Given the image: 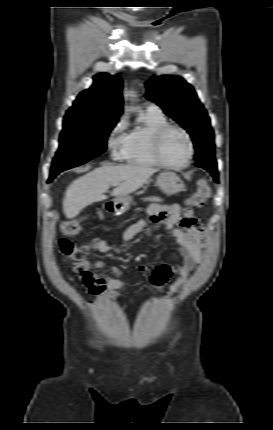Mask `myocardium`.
I'll return each mask as SVG.
<instances>
[{
	"label": "myocardium",
	"instance_id": "f54148a6",
	"mask_svg": "<svg viewBox=\"0 0 273 430\" xmlns=\"http://www.w3.org/2000/svg\"><path fill=\"white\" fill-rule=\"evenodd\" d=\"M170 130H177V131L181 132L186 138V141L188 144V156H187L185 162L182 164L176 165V164L167 163L162 157V154H161L162 140H163L165 134ZM152 153H153V157H154L155 161L157 162V164L159 166L167 168V169H172V170H182V169H185L186 167H188L192 162V159L194 157V145H193V141H192V138H191L189 132L185 128H183L179 125H176V124L167 123V124H164L161 127H159L154 132L153 137H152Z\"/></svg>",
	"mask_w": 273,
	"mask_h": 430
}]
</instances>
